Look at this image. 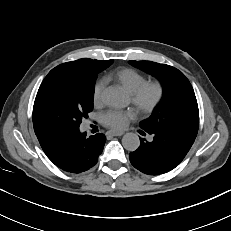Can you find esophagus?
Returning a JSON list of instances; mask_svg holds the SVG:
<instances>
[{"mask_svg": "<svg viewBox=\"0 0 231 231\" xmlns=\"http://www.w3.org/2000/svg\"><path fill=\"white\" fill-rule=\"evenodd\" d=\"M124 132L123 131H109L107 133V136H121L123 135Z\"/></svg>", "mask_w": 231, "mask_h": 231, "instance_id": "34e87169", "label": "esophagus"}]
</instances>
